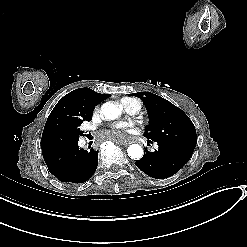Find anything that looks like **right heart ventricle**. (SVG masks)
<instances>
[{
  "mask_svg": "<svg viewBox=\"0 0 247 247\" xmlns=\"http://www.w3.org/2000/svg\"><path fill=\"white\" fill-rule=\"evenodd\" d=\"M119 104L126 112L129 113H134L141 107L140 101L128 97H123Z\"/></svg>",
  "mask_w": 247,
  "mask_h": 247,
  "instance_id": "1",
  "label": "right heart ventricle"
}]
</instances>
